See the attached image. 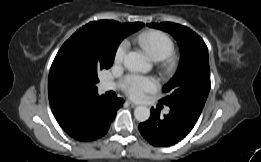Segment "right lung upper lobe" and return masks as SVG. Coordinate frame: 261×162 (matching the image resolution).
<instances>
[{
  "label": "right lung upper lobe",
  "instance_id": "right-lung-upper-lobe-1",
  "mask_svg": "<svg viewBox=\"0 0 261 162\" xmlns=\"http://www.w3.org/2000/svg\"><path fill=\"white\" fill-rule=\"evenodd\" d=\"M110 22H116V21L102 20V21H94V22H91V23H94V24H104V23H110ZM124 25H126L128 27H131V28H136V27H139V26L143 27L144 24L136 22V23H124ZM82 28H80V29H82ZM96 94H97V91L91 92V93H87L85 95L78 96V97L56 98V97H53L48 92L50 106H51L52 112H53L55 117L61 116L68 109H70V108H72L74 106L80 105L81 103L85 102L88 98H90V97H92V96H94Z\"/></svg>",
  "mask_w": 261,
  "mask_h": 162
}]
</instances>
